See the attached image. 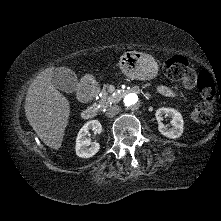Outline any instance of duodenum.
<instances>
[{"label":"duodenum","instance_id":"1","mask_svg":"<svg viewBox=\"0 0 221 221\" xmlns=\"http://www.w3.org/2000/svg\"><path fill=\"white\" fill-rule=\"evenodd\" d=\"M99 87L96 83L88 81L83 83L78 91V97L81 101L87 102L94 98L98 93ZM97 114V108L95 105L88 106L82 111V118L85 120L92 119Z\"/></svg>","mask_w":221,"mask_h":221}]
</instances>
